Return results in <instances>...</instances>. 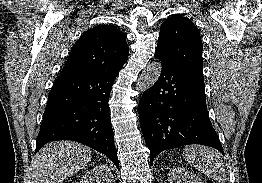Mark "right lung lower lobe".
Returning <instances> with one entry per match:
<instances>
[{"mask_svg":"<svg viewBox=\"0 0 262 183\" xmlns=\"http://www.w3.org/2000/svg\"><path fill=\"white\" fill-rule=\"evenodd\" d=\"M120 70L60 75L49 93L36 151L73 140L105 154L119 169L109 115V94Z\"/></svg>","mask_w":262,"mask_h":183,"instance_id":"right-lung-lower-lobe-1","label":"right lung lower lobe"}]
</instances>
